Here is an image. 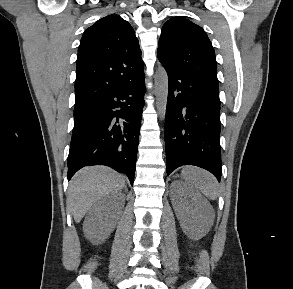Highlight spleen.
<instances>
[{"instance_id": "3e777b00", "label": "spleen", "mask_w": 293, "mask_h": 289, "mask_svg": "<svg viewBox=\"0 0 293 289\" xmlns=\"http://www.w3.org/2000/svg\"><path fill=\"white\" fill-rule=\"evenodd\" d=\"M181 177L209 199L215 200L219 196L217 180L210 172L194 166H186L181 171Z\"/></svg>"}]
</instances>
